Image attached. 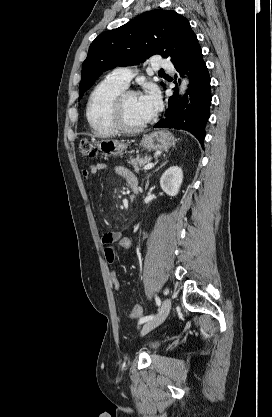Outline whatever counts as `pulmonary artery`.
Masks as SVG:
<instances>
[{"mask_svg": "<svg viewBox=\"0 0 272 417\" xmlns=\"http://www.w3.org/2000/svg\"><path fill=\"white\" fill-rule=\"evenodd\" d=\"M156 69H171L172 64L166 60L159 58L155 63ZM135 73L134 70L130 67H119L114 69L110 74L109 77L116 81L117 83L121 84L124 87H128L131 79L134 77Z\"/></svg>", "mask_w": 272, "mask_h": 417, "instance_id": "pulmonary-artery-1", "label": "pulmonary artery"}]
</instances>
